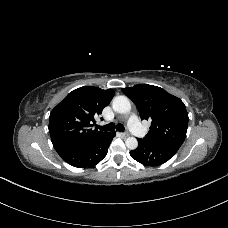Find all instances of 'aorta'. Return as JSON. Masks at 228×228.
Listing matches in <instances>:
<instances>
[{"label": "aorta", "mask_w": 228, "mask_h": 228, "mask_svg": "<svg viewBox=\"0 0 228 228\" xmlns=\"http://www.w3.org/2000/svg\"><path fill=\"white\" fill-rule=\"evenodd\" d=\"M112 108L115 112L126 114L131 110V104L126 96H117L113 99ZM128 149L134 150L138 147V141L135 137H128L125 140Z\"/></svg>", "instance_id": "aorta-1"}]
</instances>
